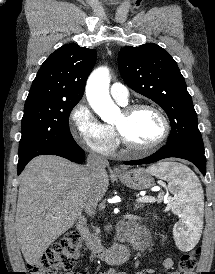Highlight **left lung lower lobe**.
I'll use <instances>...</instances> for the list:
<instances>
[{"mask_svg": "<svg viewBox=\"0 0 215 274\" xmlns=\"http://www.w3.org/2000/svg\"><path fill=\"white\" fill-rule=\"evenodd\" d=\"M204 147L184 145V144H166L157 152L149 157L140 160L125 161L126 165L149 164L164 158L176 157L186 159L195 164L201 173L206 174V157Z\"/></svg>", "mask_w": 215, "mask_h": 274, "instance_id": "left-lung-lower-lobe-1", "label": "left lung lower lobe"}]
</instances>
